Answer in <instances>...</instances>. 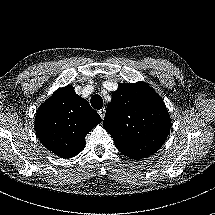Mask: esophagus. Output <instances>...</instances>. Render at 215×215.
I'll return each mask as SVG.
<instances>
[{"label":"esophagus","instance_id":"1","mask_svg":"<svg viewBox=\"0 0 215 215\" xmlns=\"http://www.w3.org/2000/svg\"><path fill=\"white\" fill-rule=\"evenodd\" d=\"M98 113H99L100 117H101L102 119H104L105 113H106L105 108L100 109V110L98 111Z\"/></svg>","mask_w":215,"mask_h":215}]
</instances>
